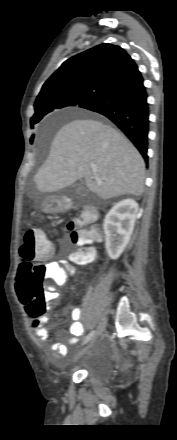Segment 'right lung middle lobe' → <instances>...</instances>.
Instances as JSON below:
<instances>
[{"label": "right lung middle lobe", "mask_w": 177, "mask_h": 440, "mask_svg": "<svg viewBox=\"0 0 177 440\" xmlns=\"http://www.w3.org/2000/svg\"><path fill=\"white\" fill-rule=\"evenodd\" d=\"M102 97V94L85 92H65L59 94L35 106V114L31 118V125L38 123L46 114L54 110L73 106L86 109ZM33 138L34 135L31 137V142H33Z\"/></svg>", "instance_id": "dd1d6c3e"}]
</instances>
